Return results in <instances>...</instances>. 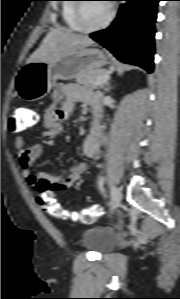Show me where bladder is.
Here are the masks:
<instances>
[{
  "instance_id": "bladder-1",
  "label": "bladder",
  "mask_w": 180,
  "mask_h": 299,
  "mask_svg": "<svg viewBox=\"0 0 180 299\" xmlns=\"http://www.w3.org/2000/svg\"><path fill=\"white\" fill-rule=\"evenodd\" d=\"M79 241L81 246L88 250L105 253L116 246L117 236L111 229L92 223L81 229Z\"/></svg>"
}]
</instances>
